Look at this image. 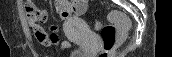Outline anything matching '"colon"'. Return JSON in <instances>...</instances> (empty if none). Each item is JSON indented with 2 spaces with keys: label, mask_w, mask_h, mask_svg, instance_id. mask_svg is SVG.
Returning a JSON list of instances; mask_svg holds the SVG:
<instances>
[{
  "label": "colon",
  "mask_w": 172,
  "mask_h": 57,
  "mask_svg": "<svg viewBox=\"0 0 172 57\" xmlns=\"http://www.w3.org/2000/svg\"><path fill=\"white\" fill-rule=\"evenodd\" d=\"M30 14H40L41 12L33 6L27 8ZM110 24L102 25L99 21L95 22V29L99 30L102 41L103 50L98 57H111L113 51L122 43L127 30L131 23L128 17L118 11H112L108 15Z\"/></svg>",
  "instance_id": "obj_1"
}]
</instances>
